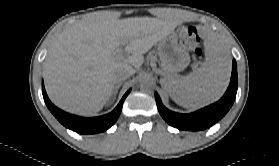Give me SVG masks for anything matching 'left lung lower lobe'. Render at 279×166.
<instances>
[{
	"label": "left lung lower lobe",
	"instance_id": "0a47b994",
	"mask_svg": "<svg viewBox=\"0 0 279 166\" xmlns=\"http://www.w3.org/2000/svg\"><path fill=\"white\" fill-rule=\"evenodd\" d=\"M237 87V65L233 60L229 87L218 102L190 114H180L164 107L157 93L155 99L159 113L169 125L180 130L199 131L211 127L228 112L235 100Z\"/></svg>",
	"mask_w": 279,
	"mask_h": 166
}]
</instances>
